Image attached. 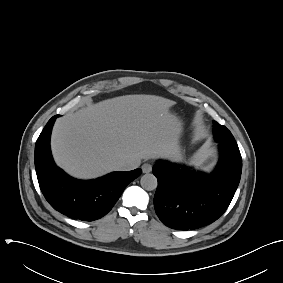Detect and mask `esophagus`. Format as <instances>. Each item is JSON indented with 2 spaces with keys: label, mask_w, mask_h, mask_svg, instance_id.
Listing matches in <instances>:
<instances>
[{
  "label": "esophagus",
  "mask_w": 283,
  "mask_h": 283,
  "mask_svg": "<svg viewBox=\"0 0 283 283\" xmlns=\"http://www.w3.org/2000/svg\"><path fill=\"white\" fill-rule=\"evenodd\" d=\"M141 169H142L143 173H149L152 170V164L146 162L141 166Z\"/></svg>",
  "instance_id": "esophagus-1"
}]
</instances>
